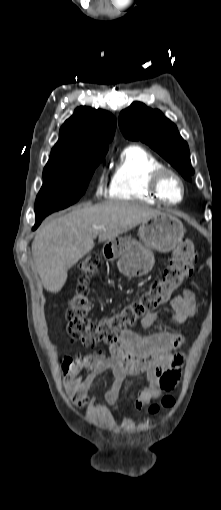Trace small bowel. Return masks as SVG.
I'll return each mask as SVG.
<instances>
[{
	"label": "small bowel",
	"instance_id": "small-bowel-1",
	"mask_svg": "<svg viewBox=\"0 0 221 510\" xmlns=\"http://www.w3.org/2000/svg\"><path fill=\"white\" fill-rule=\"evenodd\" d=\"M170 305L171 315L159 317L148 313L141 319V326L145 329L176 326L193 319L197 311L195 294L190 289L173 297ZM185 340L184 334L179 332L142 336L128 330L106 350L67 354L61 363L65 390L77 407L84 408L88 404V391L97 377L111 371L113 380L104 402L112 405L127 376L144 374L149 385L138 393L134 402L135 408L141 410L162 394L169 395L180 380L184 361L181 349Z\"/></svg>",
	"mask_w": 221,
	"mask_h": 510
}]
</instances>
